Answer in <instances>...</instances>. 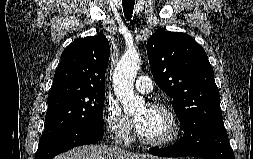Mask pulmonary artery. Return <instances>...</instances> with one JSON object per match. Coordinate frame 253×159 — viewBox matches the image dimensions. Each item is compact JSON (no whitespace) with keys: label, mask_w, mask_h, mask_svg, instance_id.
<instances>
[{"label":"pulmonary artery","mask_w":253,"mask_h":159,"mask_svg":"<svg viewBox=\"0 0 253 159\" xmlns=\"http://www.w3.org/2000/svg\"><path fill=\"white\" fill-rule=\"evenodd\" d=\"M135 88L140 93L149 94L153 90V85L148 76L142 75L137 77L135 81Z\"/></svg>","instance_id":"e3ab8cb5"}]
</instances>
